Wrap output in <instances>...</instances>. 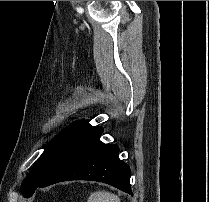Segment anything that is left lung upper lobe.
Here are the masks:
<instances>
[{"mask_svg":"<svg viewBox=\"0 0 209 202\" xmlns=\"http://www.w3.org/2000/svg\"><path fill=\"white\" fill-rule=\"evenodd\" d=\"M82 122L83 120L73 122L57 136H55V138L50 142L48 147L35 163L30 173L22 182L21 193L24 197L28 198L32 196L34 191L39 187V185L47 176L60 148L70 137V135L82 124Z\"/></svg>","mask_w":209,"mask_h":202,"instance_id":"obj_1","label":"left lung upper lobe"}]
</instances>
